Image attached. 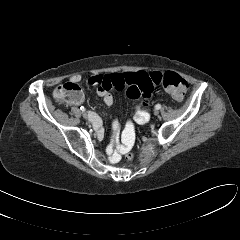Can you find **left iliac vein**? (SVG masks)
Listing matches in <instances>:
<instances>
[{
	"label": "left iliac vein",
	"instance_id": "4c4485c4",
	"mask_svg": "<svg viewBox=\"0 0 240 240\" xmlns=\"http://www.w3.org/2000/svg\"><path fill=\"white\" fill-rule=\"evenodd\" d=\"M159 114V111L156 109L155 111H154V115H158Z\"/></svg>",
	"mask_w": 240,
	"mask_h": 240
}]
</instances>
